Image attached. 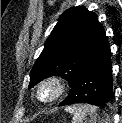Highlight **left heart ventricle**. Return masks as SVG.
<instances>
[{"instance_id": "left-heart-ventricle-1", "label": "left heart ventricle", "mask_w": 122, "mask_h": 123, "mask_svg": "<svg viewBox=\"0 0 122 123\" xmlns=\"http://www.w3.org/2000/svg\"><path fill=\"white\" fill-rule=\"evenodd\" d=\"M54 94V88L52 86H47L43 88L41 95L43 98H49Z\"/></svg>"}]
</instances>
